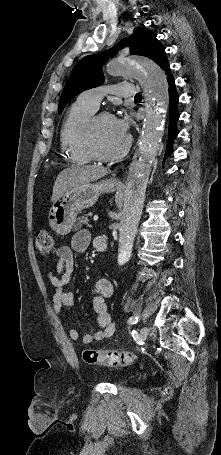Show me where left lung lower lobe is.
Returning <instances> with one entry per match:
<instances>
[{
  "label": "left lung lower lobe",
  "instance_id": "1",
  "mask_svg": "<svg viewBox=\"0 0 221 455\" xmlns=\"http://www.w3.org/2000/svg\"><path fill=\"white\" fill-rule=\"evenodd\" d=\"M167 75V81L169 83V97H170V121H169V137L165 153V158L169 156L172 152V142L177 137L178 131L176 128V122L179 119V113L177 111V104L179 101V96L175 90V80L170 73L169 65L163 69Z\"/></svg>",
  "mask_w": 221,
  "mask_h": 455
}]
</instances>
